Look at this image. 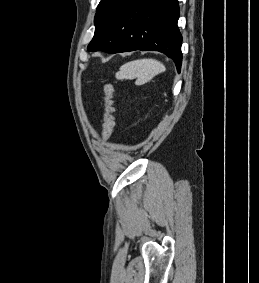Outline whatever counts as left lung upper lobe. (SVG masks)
Returning a JSON list of instances; mask_svg holds the SVG:
<instances>
[{
	"instance_id": "obj_1",
	"label": "left lung upper lobe",
	"mask_w": 259,
	"mask_h": 283,
	"mask_svg": "<svg viewBox=\"0 0 259 283\" xmlns=\"http://www.w3.org/2000/svg\"><path fill=\"white\" fill-rule=\"evenodd\" d=\"M124 1L125 0L100 1L94 19L95 33L89 45L94 44L103 36Z\"/></svg>"
}]
</instances>
